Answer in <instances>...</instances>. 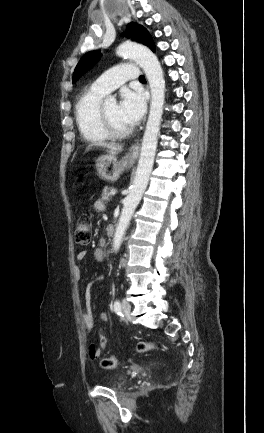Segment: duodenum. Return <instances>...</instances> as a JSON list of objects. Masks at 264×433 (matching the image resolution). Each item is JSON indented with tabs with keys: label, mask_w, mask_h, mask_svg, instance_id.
<instances>
[{
	"label": "duodenum",
	"mask_w": 264,
	"mask_h": 433,
	"mask_svg": "<svg viewBox=\"0 0 264 433\" xmlns=\"http://www.w3.org/2000/svg\"><path fill=\"white\" fill-rule=\"evenodd\" d=\"M107 231H108V235L109 236H113V234H114V227L113 226H109ZM99 253H100L99 256L101 257V259H103L105 257V255H106L107 252L100 250Z\"/></svg>",
	"instance_id": "obj_1"
}]
</instances>
